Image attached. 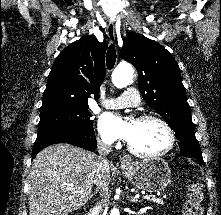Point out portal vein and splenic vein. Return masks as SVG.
Wrapping results in <instances>:
<instances>
[{
  "mask_svg": "<svg viewBox=\"0 0 221 215\" xmlns=\"http://www.w3.org/2000/svg\"><path fill=\"white\" fill-rule=\"evenodd\" d=\"M151 197H155V196H150V195H145V196H143V198H144V199H147V200L150 199Z\"/></svg>",
  "mask_w": 221,
  "mask_h": 215,
  "instance_id": "obj_1",
  "label": "portal vein and splenic vein"
}]
</instances>
